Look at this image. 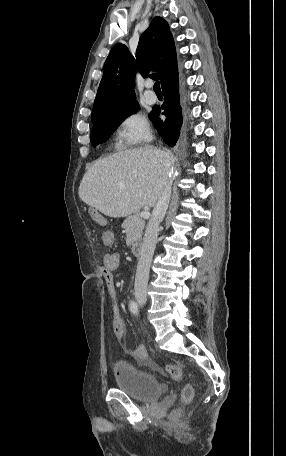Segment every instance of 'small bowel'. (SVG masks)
Here are the masks:
<instances>
[{
  "label": "small bowel",
  "mask_w": 286,
  "mask_h": 456,
  "mask_svg": "<svg viewBox=\"0 0 286 456\" xmlns=\"http://www.w3.org/2000/svg\"><path fill=\"white\" fill-rule=\"evenodd\" d=\"M114 238L113 234L109 231L103 233V242L106 245L113 244ZM121 254L120 253H110L106 254L103 258L102 265L100 267V274L104 279L108 293L112 299V306H113V321H112V330L117 339H121L124 334V323L120 316L118 306L116 303V290H115V283H114V274L113 272L117 270L121 264ZM136 349H143L145 350L144 346L139 345L136 346L134 349L129 350V354L133 357V353Z\"/></svg>",
  "instance_id": "small-bowel-1"
}]
</instances>
